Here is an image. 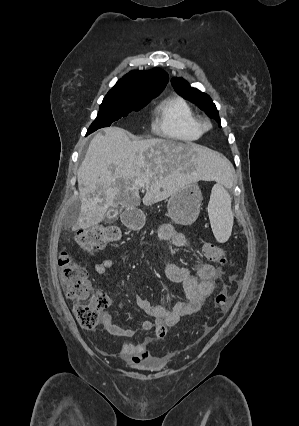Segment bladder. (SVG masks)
Returning a JSON list of instances; mask_svg holds the SVG:
<instances>
[{
    "label": "bladder",
    "instance_id": "31cf9c89",
    "mask_svg": "<svg viewBox=\"0 0 299 426\" xmlns=\"http://www.w3.org/2000/svg\"><path fill=\"white\" fill-rule=\"evenodd\" d=\"M161 367V361H159L158 359L155 360H151V361H147V362H142L136 365L137 369L140 370H157Z\"/></svg>",
    "mask_w": 299,
    "mask_h": 426
}]
</instances>
